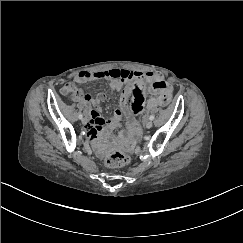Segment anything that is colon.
Here are the masks:
<instances>
[{
	"label": "colon",
	"mask_w": 243,
	"mask_h": 243,
	"mask_svg": "<svg viewBox=\"0 0 243 243\" xmlns=\"http://www.w3.org/2000/svg\"><path fill=\"white\" fill-rule=\"evenodd\" d=\"M71 97H76L79 94V90L75 87L71 88L70 93ZM170 102V99H165V105ZM122 105L124 110L127 113L131 111V96L129 94H125L122 97ZM132 131L129 130L126 134L121 137V141L123 143L127 142L131 137ZM129 161L128 156L122 151L112 148L108 151L107 156L105 158V164L112 168H119L125 166Z\"/></svg>",
	"instance_id": "obj_1"
}]
</instances>
